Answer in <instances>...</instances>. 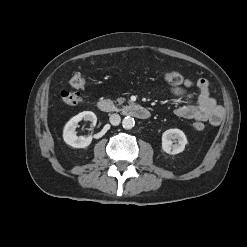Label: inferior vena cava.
<instances>
[{
    "label": "inferior vena cava",
    "mask_w": 247,
    "mask_h": 247,
    "mask_svg": "<svg viewBox=\"0 0 247 247\" xmlns=\"http://www.w3.org/2000/svg\"><path fill=\"white\" fill-rule=\"evenodd\" d=\"M109 121H110V123H111L112 125H114V126L119 125L120 122H121L120 115H119V114H116V113L111 114V115H110V118H109Z\"/></svg>",
    "instance_id": "602c4592"
}]
</instances>
